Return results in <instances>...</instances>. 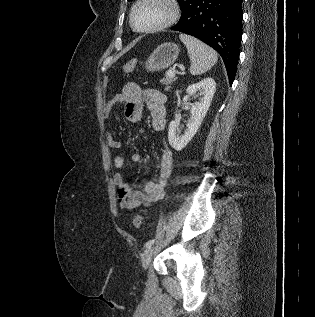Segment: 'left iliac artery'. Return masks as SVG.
Returning <instances> with one entry per match:
<instances>
[{"mask_svg":"<svg viewBox=\"0 0 315 317\" xmlns=\"http://www.w3.org/2000/svg\"><path fill=\"white\" fill-rule=\"evenodd\" d=\"M154 241H155V239L149 240V241L145 244V248L151 247V246L153 245Z\"/></svg>","mask_w":315,"mask_h":317,"instance_id":"obj_1","label":"left iliac artery"}]
</instances>
